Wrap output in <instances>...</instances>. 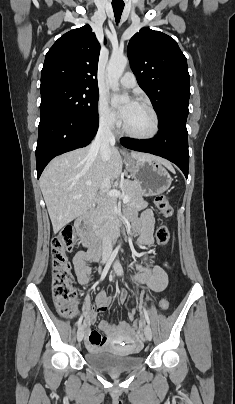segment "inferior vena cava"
I'll return each mask as SVG.
<instances>
[{"instance_id":"obj_1","label":"inferior vena cava","mask_w":235,"mask_h":404,"mask_svg":"<svg viewBox=\"0 0 235 404\" xmlns=\"http://www.w3.org/2000/svg\"><path fill=\"white\" fill-rule=\"evenodd\" d=\"M112 121H104L100 124L97 135L90 146V151H99L102 161L105 163L110 158L111 145L115 143V137L112 132ZM109 180L106 179L104 187H107ZM103 254H110L113 249L112 239L109 234H106L102 241Z\"/></svg>"}]
</instances>
